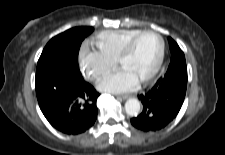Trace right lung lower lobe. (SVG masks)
<instances>
[{
    "instance_id": "98d812e1",
    "label": "right lung lower lobe",
    "mask_w": 225,
    "mask_h": 155,
    "mask_svg": "<svg viewBox=\"0 0 225 155\" xmlns=\"http://www.w3.org/2000/svg\"><path fill=\"white\" fill-rule=\"evenodd\" d=\"M38 103L48 122L57 130L76 135L97 118L99 93L84 81L78 68L66 66L36 87Z\"/></svg>"
}]
</instances>
